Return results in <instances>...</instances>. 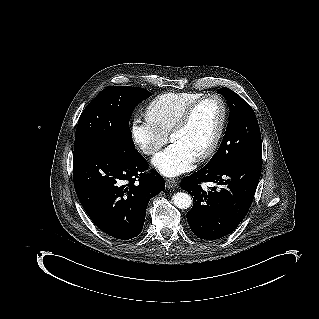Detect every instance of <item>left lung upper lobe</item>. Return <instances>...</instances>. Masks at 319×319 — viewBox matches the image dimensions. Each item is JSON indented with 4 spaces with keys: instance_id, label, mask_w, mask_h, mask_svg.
I'll return each mask as SVG.
<instances>
[{
    "instance_id": "5c2ea615",
    "label": "left lung upper lobe",
    "mask_w": 319,
    "mask_h": 319,
    "mask_svg": "<svg viewBox=\"0 0 319 319\" xmlns=\"http://www.w3.org/2000/svg\"><path fill=\"white\" fill-rule=\"evenodd\" d=\"M229 105V122L216 154L207 164H228L239 159L262 156L257 118L250 105L229 88H220Z\"/></svg>"
}]
</instances>
